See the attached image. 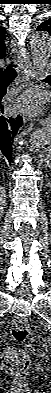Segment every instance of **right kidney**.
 I'll list each match as a JSON object with an SVG mask.
<instances>
[{"mask_svg":"<svg viewBox=\"0 0 51 393\" xmlns=\"http://www.w3.org/2000/svg\"><path fill=\"white\" fill-rule=\"evenodd\" d=\"M3 190L1 191V197H0V203L3 205L4 204V195H3Z\"/></svg>","mask_w":51,"mask_h":393,"instance_id":"right-kidney-1","label":"right kidney"}]
</instances>
